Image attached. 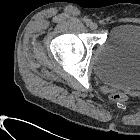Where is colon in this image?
<instances>
[{
  "mask_svg": "<svg viewBox=\"0 0 140 140\" xmlns=\"http://www.w3.org/2000/svg\"><path fill=\"white\" fill-rule=\"evenodd\" d=\"M111 100L116 103H123L127 100V95L123 92H115L111 95Z\"/></svg>",
  "mask_w": 140,
  "mask_h": 140,
  "instance_id": "obj_1",
  "label": "colon"
}]
</instances>
